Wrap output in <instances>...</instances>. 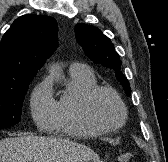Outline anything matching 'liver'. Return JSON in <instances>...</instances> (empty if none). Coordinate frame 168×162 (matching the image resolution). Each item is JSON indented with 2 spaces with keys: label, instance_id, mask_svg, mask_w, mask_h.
<instances>
[{
  "label": "liver",
  "instance_id": "obj_1",
  "mask_svg": "<svg viewBox=\"0 0 168 162\" xmlns=\"http://www.w3.org/2000/svg\"><path fill=\"white\" fill-rule=\"evenodd\" d=\"M99 156L85 145L57 137L23 135L0 140V162H88Z\"/></svg>",
  "mask_w": 168,
  "mask_h": 162
}]
</instances>
